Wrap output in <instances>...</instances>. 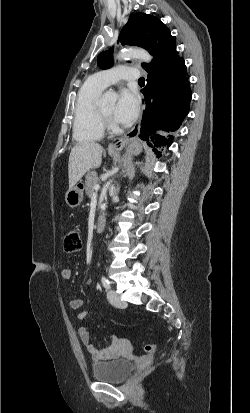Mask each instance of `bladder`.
I'll return each mask as SVG.
<instances>
[{"label":"bladder","instance_id":"obj_1","mask_svg":"<svg viewBox=\"0 0 250 413\" xmlns=\"http://www.w3.org/2000/svg\"><path fill=\"white\" fill-rule=\"evenodd\" d=\"M135 365L128 358H117L111 361L96 362L92 365L93 377L102 382H124L134 371Z\"/></svg>","mask_w":250,"mask_h":413}]
</instances>
